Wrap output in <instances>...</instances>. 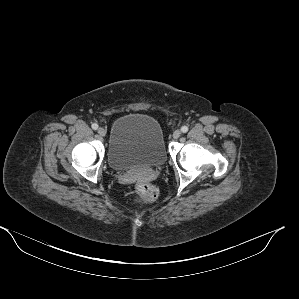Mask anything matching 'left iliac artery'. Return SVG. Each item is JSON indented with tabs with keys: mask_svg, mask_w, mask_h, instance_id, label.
I'll list each match as a JSON object with an SVG mask.
<instances>
[{
	"mask_svg": "<svg viewBox=\"0 0 299 299\" xmlns=\"http://www.w3.org/2000/svg\"><path fill=\"white\" fill-rule=\"evenodd\" d=\"M181 131H182L183 133H186V132L188 131V127H187V126H182V127H181Z\"/></svg>",
	"mask_w": 299,
	"mask_h": 299,
	"instance_id": "1",
	"label": "left iliac artery"
}]
</instances>
